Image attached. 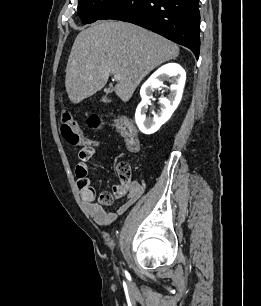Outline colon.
<instances>
[{"label": "colon", "mask_w": 261, "mask_h": 306, "mask_svg": "<svg viewBox=\"0 0 261 306\" xmlns=\"http://www.w3.org/2000/svg\"><path fill=\"white\" fill-rule=\"evenodd\" d=\"M112 123L123 138L127 149L131 152L138 151L139 141L131 122L124 117H118L114 118ZM88 124L92 128H98L101 125V120L97 116H91L88 120ZM60 125L63 138L69 144L81 147L79 154L80 158L87 157L92 151V141L84 137L78 122L66 108L60 109ZM117 173L122 182L121 187L126 188L130 180L129 166L126 163H120L117 166ZM78 187L79 189H89L91 186L90 182L83 177L78 180ZM119 196L120 192L113 189L112 191L103 193L99 197L98 202L103 205H111Z\"/></svg>", "instance_id": "5ec220e1"}]
</instances>
